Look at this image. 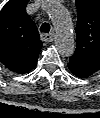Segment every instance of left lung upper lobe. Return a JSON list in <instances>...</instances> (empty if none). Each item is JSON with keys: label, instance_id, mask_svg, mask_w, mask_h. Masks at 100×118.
I'll list each match as a JSON object with an SVG mask.
<instances>
[{"label": "left lung upper lobe", "instance_id": "5c2ea615", "mask_svg": "<svg viewBox=\"0 0 100 118\" xmlns=\"http://www.w3.org/2000/svg\"><path fill=\"white\" fill-rule=\"evenodd\" d=\"M76 51L70 62L91 72L100 69V0H75Z\"/></svg>", "mask_w": 100, "mask_h": 118}]
</instances>
